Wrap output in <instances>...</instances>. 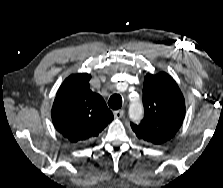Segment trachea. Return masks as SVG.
<instances>
[{"instance_id": "obj_1", "label": "trachea", "mask_w": 223, "mask_h": 188, "mask_svg": "<svg viewBox=\"0 0 223 188\" xmlns=\"http://www.w3.org/2000/svg\"><path fill=\"white\" fill-rule=\"evenodd\" d=\"M108 105L113 110H118L122 106V98L118 94H114L110 97Z\"/></svg>"}]
</instances>
